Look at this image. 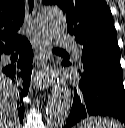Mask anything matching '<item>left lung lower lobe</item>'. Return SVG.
I'll return each mask as SVG.
<instances>
[{
    "instance_id": "1",
    "label": "left lung lower lobe",
    "mask_w": 125,
    "mask_h": 128,
    "mask_svg": "<svg viewBox=\"0 0 125 128\" xmlns=\"http://www.w3.org/2000/svg\"><path fill=\"white\" fill-rule=\"evenodd\" d=\"M62 65H70L64 60ZM112 116L125 124V90L122 68L117 65L79 70L74 99L65 128L88 116Z\"/></svg>"
}]
</instances>
